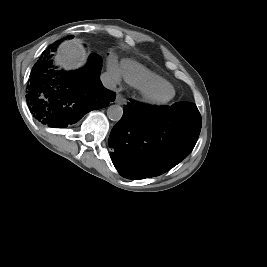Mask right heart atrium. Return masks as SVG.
Returning <instances> with one entry per match:
<instances>
[{"mask_svg":"<svg viewBox=\"0 0 267 267\" xmlns=\"http://www.w3.org/2000/svg\"><path fill=\"white\" fill-rule=\"evenodd\" d=\"M107 69H108V74L111 77V79L115 82L118 83L121 80V69L115 59L114 56L109 57L108 62H107Z\"/></svg>","mask_w":267,"mask_h":267,"instance_id":"right-heart-atrium-1","label":"right heart atrium"}]
</instances>
